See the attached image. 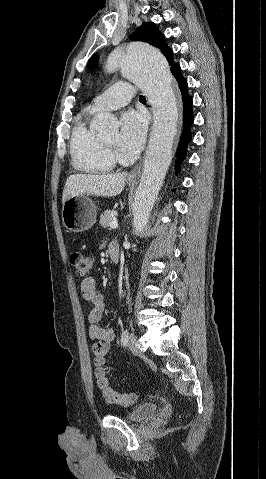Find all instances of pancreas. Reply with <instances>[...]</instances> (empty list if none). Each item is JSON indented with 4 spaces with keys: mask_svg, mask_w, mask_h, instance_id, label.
Segmentation results:
<instances>
[{
    "mask_svg": "<svg viewBox=\"0 0 266 479\" xmlns=\"http://www.w3.org/2000/svg\"><path fill=\"white\" fill-rule=\"evenodd\" d=\"M114 221L113 212L111 210H106L100 217V225L103 228H106L110 223Z\"/></svg>",
    "mask_w": 266,
    "mask_h": 479,
    "instance_id": "cf45deb5",
    "label": "pancreas"
}]
</instances>
